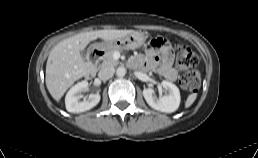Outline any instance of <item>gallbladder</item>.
Instances as JSON below:
<instances>
[{"label":"gallbladder","mask_w":258,"mask_h":158,"mask_svg":"<svg viewBox=\"0 0 258 158\" xmlns=\"http://www.w3.org/2000/svg\"><path fill=\"white\" fill-rule=\"evenodd\" d=\"M82 57L85 59L86 58V54L85 53H81Z\"/></svg>","instance_id":"bac80fb5"}]
</instances>
